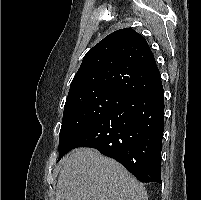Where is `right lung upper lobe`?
I'll use <instances>...</instances> for the list:
<instances>
[{
  "label": "right lung upper lobe",
  "instance_id": "1",
  "mask_svg": "<svg viewBox=\"0 0 201 200\" xmlns=\"http://www.w3.org/2000/svg\"><path fill=\"white\" fill-rule=\"evenodd\" d=\"M161 82L146 40L131 28L106 36L83 58L68 97L85 91L109 90L128 97Z\"/></svg>",
  "mask_w": 201,
  "mask_h": 200
}]
</instances>
